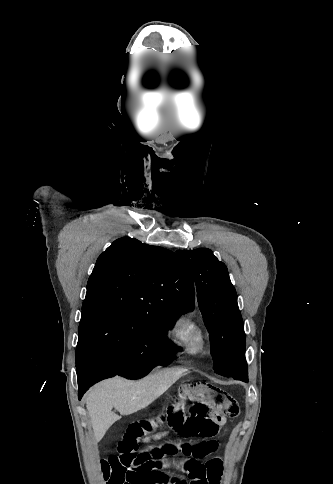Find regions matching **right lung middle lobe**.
Returning <instances> with one entry per match:
<instances>
[{"instance_id": "1", "label": "right lung middle lobe", "mask_w": 333, "mask_h": 484, "mask_svg": "<svg viewBox=\"0 0 333 484\" xmlns=\"http://www.w3.org/2000/svg\"><path fill=\"white\" fill-rule=\"evenodd\" d=\"M178 315L116 307L82 309L77 371L101 359L117 374L137 379L157 365L170 364L177 347L168 341L166 332Z\"/></svg>"}]
</instances>
